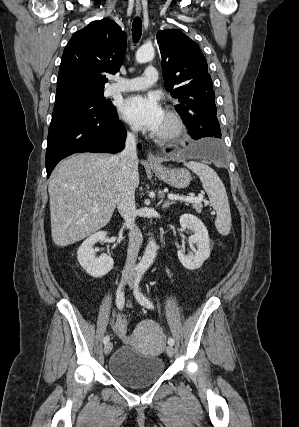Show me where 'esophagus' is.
I'll use <instances>...</instances> for the list:
<instances>
[{"label":"esophagus","instance_id":"34e87169","mask_svg":"<svg viewBox=\"0 0 299 427\" xmlns=\"http://www.w3.org/2000/svg\"><path fill=\"white\" fill-rule=\"evenodd\" d=\"M141 9H142L141 4L140 3L136 4V13L138 15H140ZM147 160H148L149 165H151V166H158L160 163L158 158L156 157V155L151 151H148Z\"/></svg>","mask_w":299,"mask_h":427}]
</instances>
